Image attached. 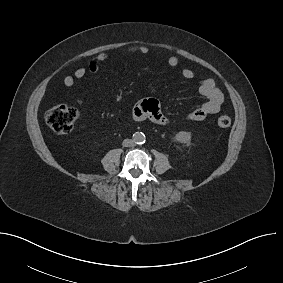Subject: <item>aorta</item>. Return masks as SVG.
Masks as SVG:
<instances>
[{
  "mask_svg": "<svg viewBox=\"0 0 283 283\" xmlns=\"http://www.w3.org/2000/svg\"><path fill=\"white\" fill-rule=\"evenodd\" d=\"M145 139H146V137H145L144 133L136 132V133L133 134V139L132 140L136 144H143L145 142Z\"/></svg>",
  "mask_w": 283,
  "mask_h": 283,
  "instance_id": "1",
  "label": "aorta"
}]
</instances>
